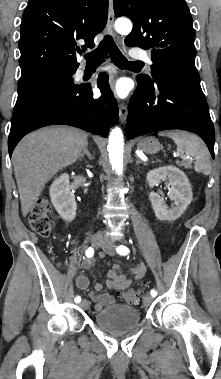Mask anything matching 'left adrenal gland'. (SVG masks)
Listing matches in <instances>:
<instances>
[{
	"label": "left adrenal gland",
	"instance_id": "left-adrenal-gland-1",
	"mask_svg": "<svg viewBox=\"0 0 221 379\" xmlns=\"http://www.w3.org/2000/svg\"><path fill=\"white\" fill-rule=\"evenodd\" d=\"M136 158H137V161H136L137 165L140 164V163L146 164L145 162L141 161L138 157H136Z\"/></svg>",
	"mask_w": 221,
	"mask_h": 379
}]
</instances>
